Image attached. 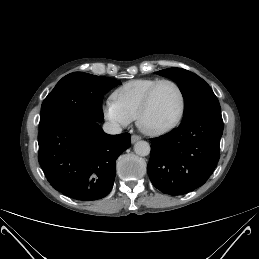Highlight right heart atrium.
<instances>
[{
	"label": "right heart atrium",
	"mask_w": 259,
	"mask_h": 259,
	"mask_svg": "<svg viewBox=\"0 0 259 259\" xmlns=\"http://www.w3.org/2000/svg\"><path fill=\"white\" fill-rule=\"evenodd\" d=\"M103 112L106 119L116 126H126L131 120L118 107L113 99L106 100L103 106Z\"/></svg>",
	"instance_id": "1"
}]
</instances>
